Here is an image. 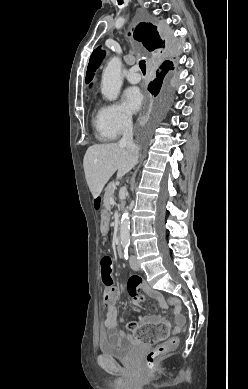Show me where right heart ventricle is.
Returning <instances> with one entry per match:
<instances>
[{
    "mask_svg": "<svg viewBox=\"0 0 248 389\" xmlns=\"http://www.w3.org/2000/svg\"><path fill=\"white\" fill-rule=\"evenodd\" d=\"M92 127L94 130L95 137L99 141L106 142L114 138L113 134L107 127L102 108H99L95 111L92 119Z\"/></svg>",
    "mask_w": 248,
    "mask_h": 389,
    "instance_id": "right-heart-ventricle-1",
    "label": "right heart ventricle"
}]
</instances>
